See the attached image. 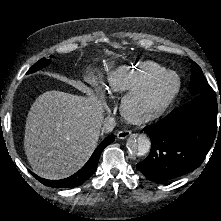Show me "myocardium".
<instances>
[{
    "label": "myocardium",
    "instance_id": "myocardium-1",
    "mask_svg": "<svg viewBox=\"0 0 221 221\" xmlns=\"http://www.w3.org/2000/svg\"><path fill=\"white\" fill-rule=\"evenodd\" d=\"M175 79V84L168 94L157 102H149L153 90L169 78ZM181 88L179 76L172 71H167L154 78L146 86L130 92L123 100L124 115L132 122L142 123L154 120L166 112L178 96Z\"/></svg>",
    "mask_w": 221,
    "mask_h": 221
}]
</instances>
